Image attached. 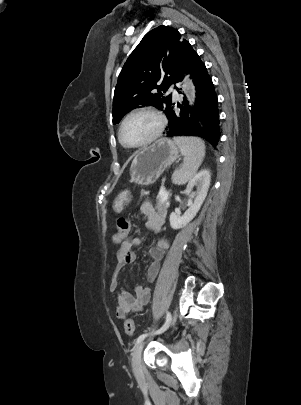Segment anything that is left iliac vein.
Instances as JSON below:
<instances>
[{
	"instance_id": "obj_1",
	"label": "left iliac vein",
	"mask_w": 301,
	"mask_h": 405,
	"mask_svg": "<svg viewBox=\"0 0 301 405\" xmlns=\"http://www.w3.org/2000/svg\"><path fill=\"white\" fill-rule=\"evenodd\" d=\"M176 312H174L173 317L171 319V325H173L176 321ZM144 347V342H140L133 351V358H132V366L133 371L136 376L142 375V366H141V354Z\"/></svg>"
}]
</instances>
